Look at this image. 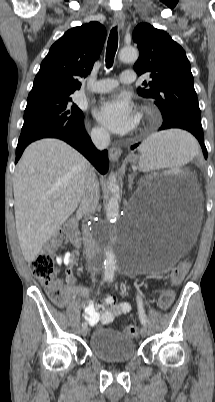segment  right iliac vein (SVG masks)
<instances>
[{"label":"right iliac vein","instance_id":"63e3f726","mask_svg":"<svg viewBox=\"0 0 215 402\" xmlns=\"http://www.w3.org/2000/svg\"><path fill=\"white\" fill-rule=\"evenodd\" d=\"M87 333H88L87 327H83L82 330H81V334H82L83 336H86Z\"/></svg>","mask_w":215,"mask_h":402}]
</instances>
